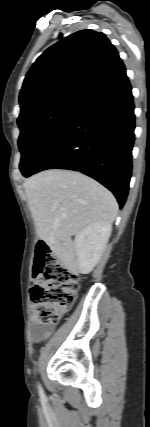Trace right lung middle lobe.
Segmentation results:
<instances>
[{"label":"right lung middle lobe","instance_id":"1","mask_svg":"<svg viewBox=\"0 0 150 427\" xmlns=\"http://www.w3.org/2000/svg\"><path fill=\"white\" fill-rule=\"evenodd\" d=\"M78 108L68 104L48 105L33 109L18 118L21 131L18 145L22 154L20 170L25 177L33 174Z\"/></svg>","mask_w":150,"mask_h":427}]
</instances>
